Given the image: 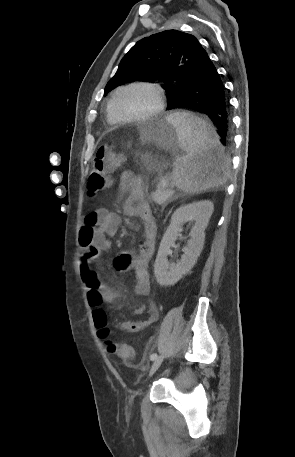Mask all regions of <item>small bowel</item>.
Instances as JSON below:
<instances>
[{
	"label": "small bowel",
	"mask_w": 295,
	"mask_h": 457,
	"mask_svg": "<svg viewBox=\"0 0 295 457\" xmlns=\"http://www.w3.org/2000/svg\"><path fill=\"white\" fill-rule=\"evenodd\" d=\"M118 191L127 195L125 211L128 215L137 216L143 225V241L137 254L131 251L120 252L113 260L114 268L119 272L132 271L135 280V295L146 296L150 292L148 263L154 248L157 226L149 203L144 198L142 181L131 171H124L120 175ZM80 229L79 257L80 276L85 285L89 301L92 306L101 302L113 304L119 294L103 283L93 269V264L103 251L111 247V239L118 232L121 218L116 212L101 208L89 213ZM142 316L138 321H123L113 319V322L122 330L136 333L144 330L159 318V309L152 300L135 311Z\"/></svg>",
	"instance_id": "1"
}]
</instances>
